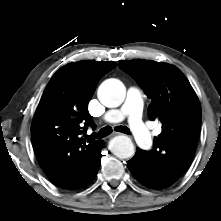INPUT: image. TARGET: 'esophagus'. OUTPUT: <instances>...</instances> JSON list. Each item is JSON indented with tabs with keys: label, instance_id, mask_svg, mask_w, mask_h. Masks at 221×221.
Wrapping results in <instances>:
<instances>
[{
	"label": "esophagus",
	"instance_id": "1",
	"mask_svg": "<svg viewBox=\"0 0 221 221\" xmlns=\"http://www.w3.org/2000/svg\"><path fill=\"white\" fill-rule=\"evenodd\" d=\"M115 135H122L121 133H115Z\"/></svg>",
	"mask_w": 221,
	"mask_h": 221
}]
</instances>
